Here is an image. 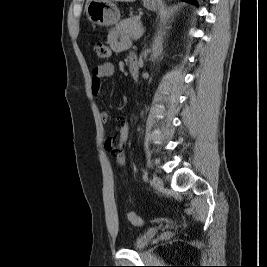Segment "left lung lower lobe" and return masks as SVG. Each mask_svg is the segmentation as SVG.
<instances>
[{"label": "left lung lower lobe", "instance_id": "obj_1", "mask_svg": "<svg viewBox=\"0 0 267 267\" xmlns=\"http://www.w3.org/2000/svg\"><path fill=\"white\" fill-rule=\"evenodd\" d=\"M184 1L189 2V3H192L194 5H197L196 0H184Z\"/></svg>", "mask_w": 267, "mask_h": 267}]
</instances>
